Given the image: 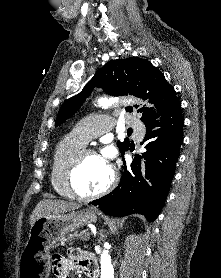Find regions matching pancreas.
Wrapping results in <instances>:
<instances>
[{
    "instance_id": "cf45deb5",
    "label": "pancreas",
    "mask_w": 221,
    "mask_h": 278,
    "mask_svg": "<svg viewBox=\"0 0 221 278\" xmlns=\"http://www.w3.org/2000/svg\"><path fill=\"white\" fill-rule=\"evenodd\" d=\"M90 234L87 231H82L80 233H72L69 234L65 237H63L60 242L61 245H66V243H69L70 245H72L74 243V241L76 240H88L89 239Z\"/></svg>"
}]
</instances>
